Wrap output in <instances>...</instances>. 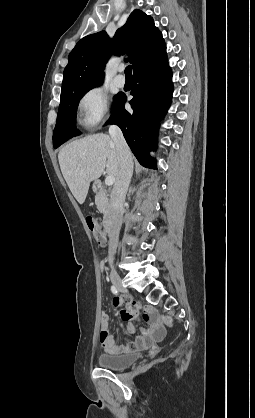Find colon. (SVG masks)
Returning a JSON list of instances; mask_svg holds the SVG:
<instances>
[{
    "mask_svg": "<svg viewBox=\"0 0 255 418\" xmlns=\"http://www.w3.org/2000/svg\"><path fill=\"white\" fill-rule=\"evenodd\" d=\"M86 223L96 243L103 246L106 242V238L102 231L99 221L92 216H87ZM151 321L153 322L154 327H157L163 324L169 325L171 323V318L168 315H161L159 317H155L152 314Z\"/></svg>",
    "mask_w": 255,
    "mask_h": 418,
    "instance_id": "colon-1",
    "label": "colon"
}]
</instances>
